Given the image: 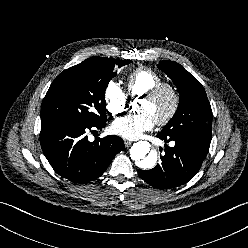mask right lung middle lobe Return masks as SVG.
Masks as SVG:
<instances>
[{"label": "right lung middle lobe", "mask_w": 248, "mask_h": 248, "mask_svg": "<svg viewBox=\"0 0 248 248\" xmlns=\"http://www.w3.org/2000/svg\"><path fill=\"white\" fill-rule=\"evenodd\" d=\"M130 60L100 58L64 70L52 82L42 104L41 121H106L105 90L116 69Z\"/></svg>", "instance_id": "1"}]
</instances>
